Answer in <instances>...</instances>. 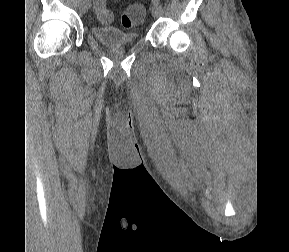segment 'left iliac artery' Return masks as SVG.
Segmentation results:
<instances>
[{
  "instance_id": "left-iliac-artery-1",
  "label": "left iliac artery",
  "mask_w": 289,
  "mask_h": 252,
  "mask_svg": "<svg viewBox=\"0 0 289 252\" xmlns=\"http://www.w3.org/2000/svg\"><path fill=\"white\" fill-rule=\"evenodd\" d=\"M152 3H153L154 5H160V0H152Z\"/></svg>"
}]
</instances>
